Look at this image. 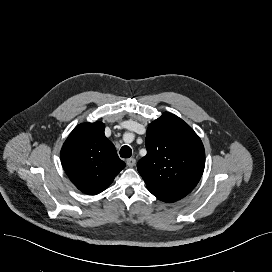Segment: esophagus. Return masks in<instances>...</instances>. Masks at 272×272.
I'll list each match as a JSON object with an SVG mask.
<instances>
[{"mask_svg":"<svg viewBox=\"0 0 272 272\" xmlns=\"http://www.w3.org/2000/svg\"><path fill=\"white\" fill-rule=\"evenodd\" d=\"M126 163L129 167H133L136 164V160L134 158H129Z\"/></svg>","mask_w":272,"mask_h":272,"instance_id":"obj_1","label":"esophagus"}]
</instances>
